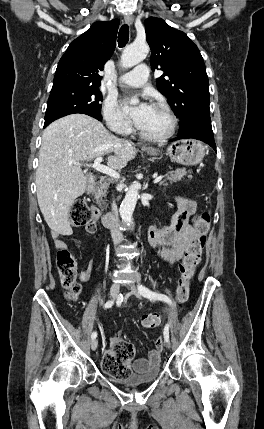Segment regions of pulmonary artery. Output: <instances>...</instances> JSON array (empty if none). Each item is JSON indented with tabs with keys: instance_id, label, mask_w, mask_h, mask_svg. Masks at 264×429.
Returning a JSON list of instances; mask_svg holds the SVG:
<instances>
[{
	"instance_id": "pulmonary-artery-1",
	"label": "pulmonary artery",
	"mask_w": 264,
	"mask_h": 429,
	"mask_svg": "<svg viewBox=\"0 0 264 429\" xmlns=\"http://www.w3.org/2000/svg\"><path fill=\"white\" fill-rule=\"evenodd\" d=\"M149 77V68L145 64L138 65L132 71L119 77V83L124 86L141 87Z\"/></svg>"
}]
</instances>
